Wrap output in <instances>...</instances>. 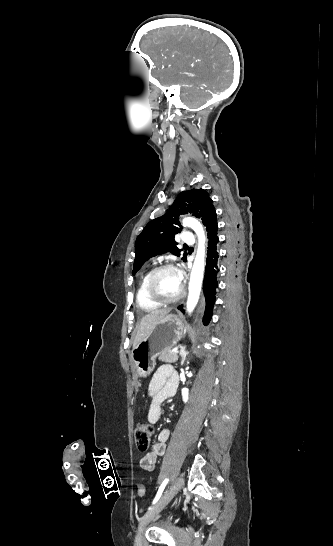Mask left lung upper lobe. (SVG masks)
Instances as JSON below:
<instances>
[{
  "instance_id": "1",
  "label": "left lung upper lobe",
  "mask_w": 333,
  "mask_h": 546,
  "mask_svg": "<svg viewBox=\"0 0 333 546\" xmlns=\"http://www.w3.org/2000/svg\"><path fill=\"white\" fill-rule=\"evenodd\" d=\"M191 213L202 220L206 227L213 216L216 215L212 199L207 191L203 189H192L178 195L168 212L150 221L137 237L135 243V261L132 274L141 268L149 258L172 252L180 256V249L177 248L175 235L182 230L179 216ZM187 253L184 252L182 260H186Z\"/></svg>"
}]
</instances>
